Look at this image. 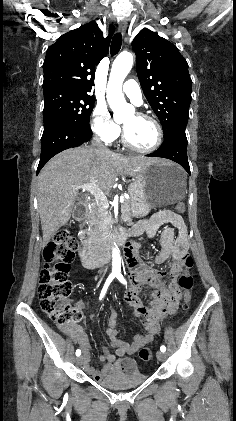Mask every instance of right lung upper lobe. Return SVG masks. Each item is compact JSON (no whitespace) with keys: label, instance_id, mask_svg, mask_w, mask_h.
<instances>
[{"label":"right lung upper lobe","instance_id":"1","mask_svg":"<svg viewBox=\"0 0 236 421\" xmlns=\"http://www.w3.org/2000/svg\"><path fill=\"white\" fill-rule=\"evenodd\" d=\"M114 26L108 37L96 22L72 30L51 45L43 64L44 89L89 93L94 86L95 67L106 56Z\"/></svg>","mask_w":236,"mask_h":421}]
</instances>
